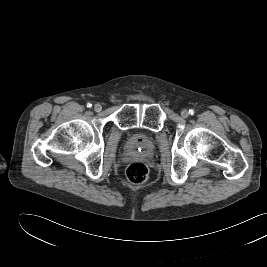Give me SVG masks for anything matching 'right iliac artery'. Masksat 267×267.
I'll use <instances>...</instances> for the list:
<instances>
[{"label":"right iliac artery","instance_id":"obj_1","mask_svg":"<svg viewBox=\"0 0 267 267\" xmlns=\"http://www.w3.org/2000/svg\"><path fill=\"white\" fill-rule=\"evenodd\" d=\"M92 106L91 103H87V107L90 108Z\"/></svg>","mask_w":267,"mask_h":267}]
</instances>
